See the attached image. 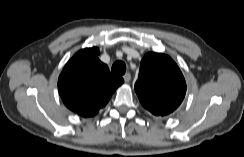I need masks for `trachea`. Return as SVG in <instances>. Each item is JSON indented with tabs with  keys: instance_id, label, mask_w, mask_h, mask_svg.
<instances>
[{
	"instance_id": "1",
	"label": "trachea",
	"mask_w": 244,
	"mask_h": 157,
	"mask_svg": "<svg viewBox=\"0 0 244 157\" xmlns=\"http://www.w3.org/2000/svg\"><path fill=\"white\" fill-rule=\"evenodd\" d=\"M111 71L116 75H123L126 71V65L122 61H117L112 65Z\"/></svg>"
}]
</instances>
